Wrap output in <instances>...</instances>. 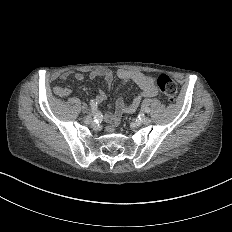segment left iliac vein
<instances>
[{
  "label": "left iliac vein",
  "mask_w": 232,
  "mask_h": 232,
  "mask_svg": "<svg viewBox=\"0 0 232 232\" xmlns=\"http://www.w3.org/2000/svg\"><path fill=\"white\" fill-rule=\"evenodd\" d=\"M143 123H144L145 125H150V124H151V119H150V118H145V119L143 120Z\"/></svg>",
  "instance_id": "1"
}]
</instances>
